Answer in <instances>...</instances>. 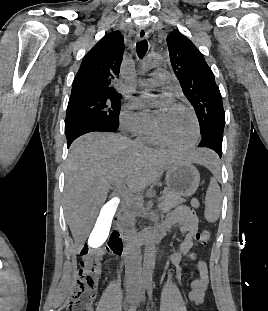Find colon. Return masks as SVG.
Listing matches in <instances>:
<instances>
[{
    "label": "colon",
    "instance_id": "colon-1",
    "mask_svg": "<svg viewBox=\"0 0 268 311\" xmlns=\"http://www.w3.org/2000/svg\"><path fill=\"white\" fill-rule=\"evenodd\" d=\"M209 240L210 232L207 230L199 231L196 235V241L201 247L207 246ZM107 252L102 247L93 249L86 245L82 248L80 271L66 311H92L102 273V259Z\"/></svg>",
    "mask_w": 268,
    "mask_h": 311
}]
</instances>
